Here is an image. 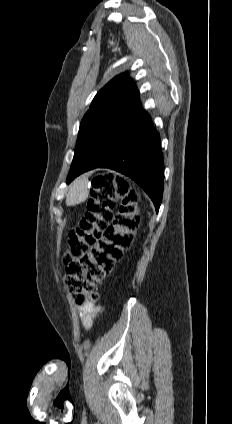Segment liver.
Here are the masks:
<instances>
[{"mask_svg":"<svg viewBox=\"0 0 232 424\" xmlns=\"http://www.w3.org/2000/svg\"><path fill=\"white\" fill-rule=\"evenodd\" d=\"M89 195V182L86 177H79L73 181L66 196V205L74 206L86 201Z\"/></svg>","mask_w":232,"mask_h":424,"instance_id":"6515ba94","label":"liver"}]
</instances>
